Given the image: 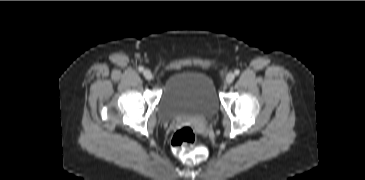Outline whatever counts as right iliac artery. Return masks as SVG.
<instances>
[{
    "label": "right iliac artery",
    "instance_id": "obj_1",
    "mask_svg": "<svg viewBox=\"0 0 365 180\" xmlns=\"http://www.w3.org/2000/svg\"><path fill=\"white\" fill-rule=\"evenodd\" d=\"M138 70H139L140 72H143L144 68H143L142 66H140V67L138 68Z\"/></svg>",
    "mask_w": 365,
    "mask_h": 180
}]
</instances>
